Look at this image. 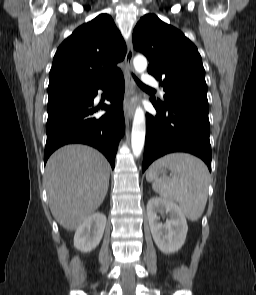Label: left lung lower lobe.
Here are the masks:
<instances>
[{
    "mask_svg": "<svg viewBox=\"0 0 256 295\" xmlns=\"http://www.w3.org/2000/svg\"><path fill=\"white\" fill-rule=\"evenodd\" d=\"M152 103L157 110V116L146 114L143 171L157 158L172 152L196 155L211 171L208 110L186 105L161 107L154 101Z\"/></svg>",
    "mask_w": 256,
    "mask_h": 295,
    "instance_id": "0a47b994",
    "label": "left lung lower lobe"
}]
</instances>
